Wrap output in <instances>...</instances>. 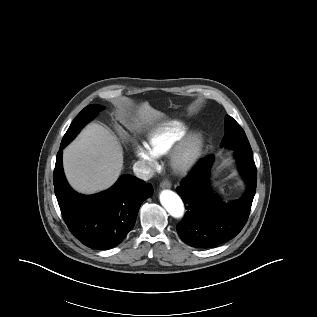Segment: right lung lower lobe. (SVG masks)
Instances as JSON below:
<instances>
[{
    "instance_id": "right-lung-lower-lobe-1",
    "label": "right lung lower lobe",
    "mask_w": 317,
    "mask_h": 317,
    "mask_svg": "<svg viewBox=\"0 0 317 317\" xmlns=\"http://www.w3.org/2000/svg\"><path fill=\"white\" fill-rule=\"evenodd\" d=\"M61 143L54 170L55 195L72 234L91 249H110L132 230L142 202L153 193L152 185L123 175L110 189L82 195L68 184L62 167Z\"/></svg>"
}]
</instances>
